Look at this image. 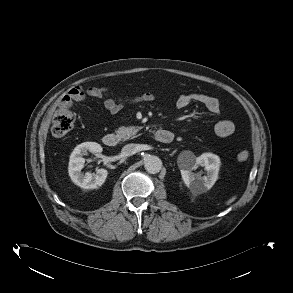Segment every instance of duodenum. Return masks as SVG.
<instances>
[{
  "label": "duodenum",
  "instance_id": "duodenum-1",
  "mask_svg": "<svg viewBox=\"0 0 293 293\" xmlns=\"http://www.w3.org/2000/svg\"><path fill=\"white\" fill-rule=\"evenodd\" d=\"M154 136L160 143H170L173 139L172 133L164 129L156 131ZM102 140L107 147H116L120 143V136L117 133H107Z\"/></svg>",
  "mask_w": 293,
  "mask_h": 293
}]
</instances>
